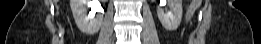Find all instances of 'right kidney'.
<instances>
[{
  "instance_id": "1",
  "label": "right kidney",
  "mask_w": 261,
  "mask_h": 44,
  "mask_svg": "<svg viewBox=\"0 0 261 44\" xmlns=\"http://www.w3.org/2000/svg\"><path fill=\"white\" fill-rule=\"evenodd\" d=\"M87 6L91 8L87 13ZM70 7L77 27L84 33H96L103 22V9L99 0H70ZM96 12L98 14L96 15Z\"/></svg>"
}]
</instances>
